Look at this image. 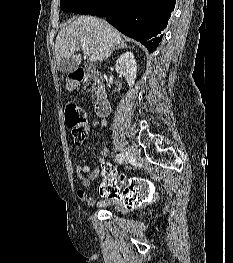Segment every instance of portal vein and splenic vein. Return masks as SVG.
<instances>
[{
	"label": "portal vein and splenic vein",
	"instance_id": "1",
	"mask_svg": "<svg viewBox=\"0 0 233 263\" xmlns=\"http://www.w3.org/2000/svg\"><path fill=\"white\" fill-rule=\"evenodd\" d=\"M80 45H81V47H82V49H83V52H84L85 57H87L90 61H96V60H97V57H96V56L91 55V54L89 53L88 48H87V46H86L85 43H81ZM75 49H76V47L73 46V47L71 48V51L74 52Z\"/></svg>",
	"mask_w": 233,
	"mask_h": 263
}]
</instances>
